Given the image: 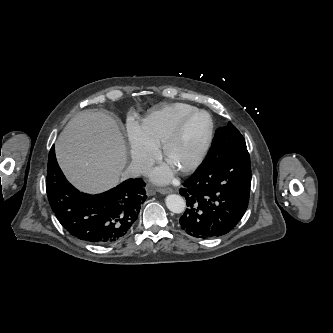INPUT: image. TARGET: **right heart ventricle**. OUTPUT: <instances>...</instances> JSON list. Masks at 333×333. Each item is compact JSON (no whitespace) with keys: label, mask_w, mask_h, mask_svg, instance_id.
<instances>
[{"label":"right heart ventricle","mask_w":333,"mask_h":333,"mask_svg":"<svg viewBox=\"0 0 333 333\" xmlns=\"http://www.w3.org/2000/svg\"><path fill=\"white\" fill-rule=\"evenodd\" d=\"M195 109L193 105L176 102L151 110L141 124L146 138L156 147L162 145L179 120Z\"/></svg>","instance_id":"obj_1"}]
</instances>
